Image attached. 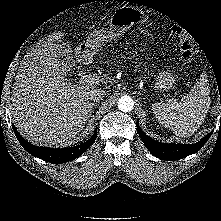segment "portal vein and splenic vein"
<instances>
[{
    "label": "portal vein and splenic vein",
    "instance_id": "obj_1",
    "mask_svg": "<svg viewBox=\"0 0 221 221\" xmlns=\"http://www.w3.org/2000/svg\"><path fill=\"white\" fill-rule=\"evenodd\" d=\"M100 81V78L93 74H86V73H81L80 75V83H84V84H98Z\"/></svg>",
    "mask_w": 221,
    "mask_h": 221
}]
</instances>
